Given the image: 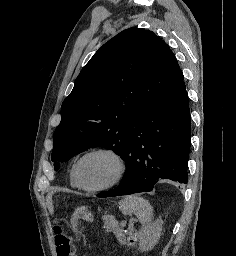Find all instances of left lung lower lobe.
<instances>
[{
	"instance_id": "left-lung-lower-lobe-1",
	"label": "left lung lower lobe",
	"mask_w": 236,
	"mask_h": 256,
	"mask_svg": "<svg viewBox=\"0 0 236 256\" xmlns=\"http://www.w3.org/2000/svg\"><path fill=\"white\" fill-rule=\"evenodd\" d=\"M190 144L191 118L182 79L135 122L123 156L126 172L121 183L97 196L152 191L161 179L186 184Z\"/></svg>"
}]
</instances>
